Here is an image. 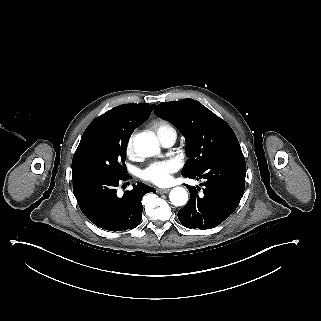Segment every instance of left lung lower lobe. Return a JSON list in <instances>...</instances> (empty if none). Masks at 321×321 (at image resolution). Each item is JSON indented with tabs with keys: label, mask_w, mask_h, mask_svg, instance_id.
I'll return each mask as SVG.
<instances>
[{
	"label": "left lung lower lobe",
	"mask_w": 321,
	"mask_h": 321,
	"mask_svg": "<svg viewBox=\"0 0 321 321\" xmlns=\"http://www.w3.org/2000/svg\"><path fill=\"white\" fill-rule=\"evenodd\" d=\"M184 177L203 179V193L194 186L189 202L178 212L187 228L211 229L227 219L237 208L245 188L246 163L242 152L218 157L198 172Z\"/></svg>",
	"instance_id": "obj_1"
}]
</instances>
